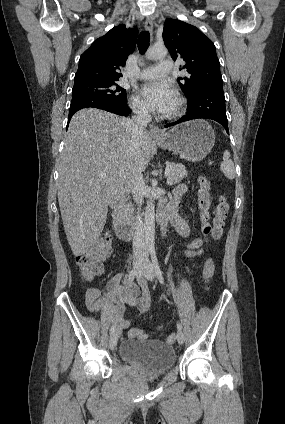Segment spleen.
I'll return each instance as SVG.
<instances>
[{
  "label": "spleen",
  "instance_id": "1",
  "mask_svg": "<svg viewBox=\"0 0 285 424\" xmlns=\"http://www.w3.org/2000/svg\"><path fill=\"white\" fill-rule=\"evenodd\" d=\"M220 170L228 179L232 180L235 178V168L233 161L230 159V153L228 150H225L223 153V161L220 165Z\"/></svg>",
  "mask_w": 285,
  "mask_h": 424
}]
</instances>
